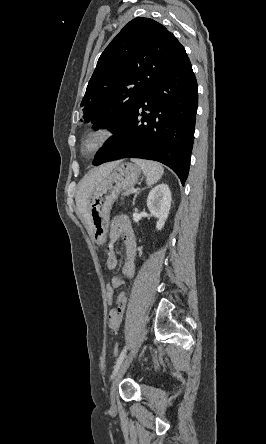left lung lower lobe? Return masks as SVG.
<instances>
[{"mask_svg": "<svg viewBox=\"0 0 266 444\" xmlns=\"http://www.w3.org/2000/svg\"><path fill=\"white\" fill-rule=\"evenodd\" d=\"M198 88L187 55L141 99L96 154L93 165L120 158L161 162L187 179L194 141Z\"/></svg>", "mask_w": 266, "mask_h": 444, "instance_id": "left-lung-lower-lobe-1", "label": "left lung lower lobe"}]
</instances>
